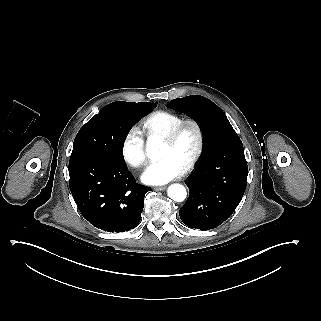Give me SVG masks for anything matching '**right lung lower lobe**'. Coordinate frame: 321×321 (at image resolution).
Returning <instances> with one entry per match:
<instances>
[{
    "instance_id": "98d812e1",
    "label": "right lung lower lobe",
    "mask_w": 321,
    "mask_h": 321,
    "mask_svg": "<svg viewBox=\"0 0 321 321\" xmlns=\"http://www.w3.org/2000/svg\"><path fill=\"white\" fill-rule=\"evenodd\" d=\"M70 191L78 209L95 227L108 232L135 228L145 194L151 188L136 183L126 163L96 155L69 161Z\"/></svg>"
}]
</instances>
